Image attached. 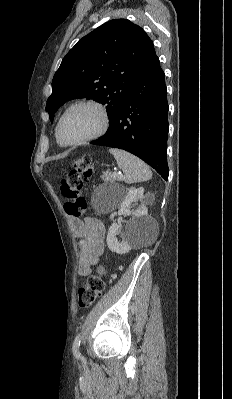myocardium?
Masks as SVG:
<instances>
[{"instance_id":"myocardium-1","label":"myocardium","mask_w":232,"mask_h":399,"mask_svg":"<svg viewBox=\"0 0 232 399\" xmlns=\"http://www.w3.org/2000/svg\"><path fill=\"white\" fill-rule=\"evenodd\" d=\"M77 106H91L94 107L95 109L98 110L100 117H101V123L99 128L91 135H89L86 138L80 139V140H69L67 139L63 132H62V125H63V121L66 117V115L69 113L70 110H72L73 108L77 107ZM110 126V116L109 113L106 109V107L98 102L95 101H78L75 102L73 104H71L61 115L57 127H56V131L57 134L60 138V140L66 144V145H70V146H75V145H81L84 143H87L89 141L95 140L99 137H101L102 135H104L107 130L109 129Z\"/></svg>"}]
</instances>
